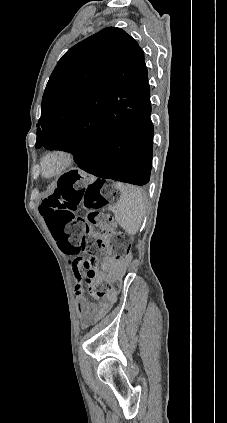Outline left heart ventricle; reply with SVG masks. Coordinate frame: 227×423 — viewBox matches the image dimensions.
<instances>
[{
  "label": "left heart ventricle",
  "instance_id": "b2bd125f",
  "mask_svg": "<svg viewBox=\"0 0 227 423\" xmlns=\"http://www.w3.org/2000/svg\"><path fill=\"white\" fill-rule=\"evenodd\" d=\"M58 167V160L57 159H51L48 161L46 165V171L47 173H52L56 170Z\"/></svg>",
  "mask_w": 227,
  "mask_h": 423
}]
</instances>
